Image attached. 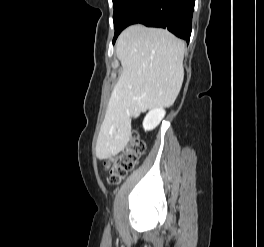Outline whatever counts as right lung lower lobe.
<instances>
[{
    "instance_id": "98d812e1",
    "label": "right lung lower lobe",
    "mask_w": 264,
    "mask_h": 247,
    "mask_svg": "<svg viewBox=\"0 0 264 247\" xmlns=\"http://www.w3.org/2000/svg\"><path fill=\"white\" fill-rule=\"evenodd\" d=\"M195 0H129L122 11L113 41L127 26L141 23L166 28L189 42Z\"/></svg>"
}]
</instances>
